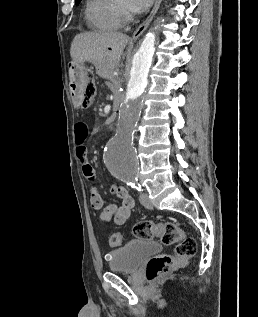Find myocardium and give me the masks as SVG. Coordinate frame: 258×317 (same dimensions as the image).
<instances>
[{
  "label": "myocardium",
  "instance_id": "obj_1",
  "mask_svg": "<svg viewBox=\"0 0 258 317\" xmlns=\"http://www.w3.org/2000/svg\"><path fill=\"white\" fill-rule=\"evenodd\" d=\"M131 9L127 5H123L121 10V18L123 21H130L132 18Z\"/></svg>",
  "mask_w": 258,
  "mask_h": 317
}]
</instances>
